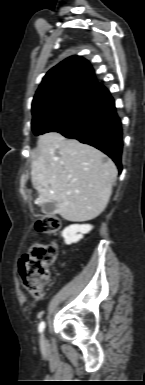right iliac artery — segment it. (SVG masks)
Wrapping results in <instances>:
<instances>
[{
	"label": "right iliac artery",
	"mask_w": 145,
	"mask_h": 385,
	"mask_svg": "<svg viewBox=\"0 0 145 385\" xmlns=\"http://www.w3.org/2000/svg\"><path fill=\"white\" fill-rule=\"evenodd\" d=\"M44 328H45V322L42 321V322L39 324V327H38L39 332H43Z\"/></svg>",
	"instance_id": "right-iliac-artery-1"
}]
</instances>
